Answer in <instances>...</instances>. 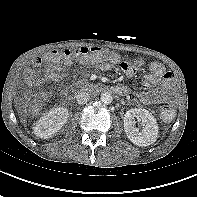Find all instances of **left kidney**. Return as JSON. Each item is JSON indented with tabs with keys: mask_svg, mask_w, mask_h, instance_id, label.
I'll use <instances>...</instances> for the list:
<instances>
[{
	"mask_svg": "<svg viewBox=\"0 0 197 197\" xmlns=\"http://www.w3.org/2000/svg\"><path fill=\"white\" fill-rule=\"evenodd\" d=\"M137 118L143 124V129L139 131L134 126V119ZM124 131L132 143L144 147L156 142L159 127L156 118L144 108H134L128 110L124 115Z\"/></svg>",
	"mask_w": 197,
	"mask_h": 197,
	"instance_id": "1",
	"label": "left kidney"
}]
</instances>
